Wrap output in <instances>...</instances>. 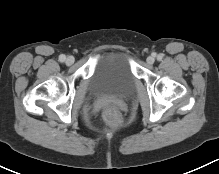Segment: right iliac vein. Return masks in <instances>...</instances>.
<instances>
[{"label": "right iliac vein", "mask_w": 219, "mask_h": 174, "mask_svg": "<svg viewBox=\"0 0 219 174\" xmlns=\"http://www.w3.org/2000/svg\"><path fill=\"white\" fill-rule=\"evenodd\" d=\"M65 62H66L67 65H72L74 63V57L73 56H68L66 58Z\"/></svg>", "instance_id": "63e3f726"}]
</instances>
